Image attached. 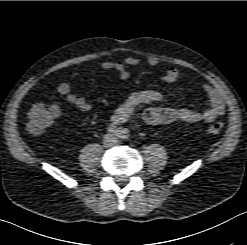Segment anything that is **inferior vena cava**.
<instances>
[{"instance_id": "inferior-vena-cava-1", "label": "inferior vena cava", "mask_w": 247, "mask_h": 245, "mask_svg": "<svg viewBox=\"0 0 247 245\" xmlns=\"http://www.w3.org/2000/svg\"><path fill=\"white\" fill-rule=\"evenodd\" d=\"M110 139H112V140L115 142V139H113V138L111 137V135H107V136L105 137V141H106V142H109ZM108 144L111 145V144H113V143H108Z\"/></svg>"}]
</instances>
